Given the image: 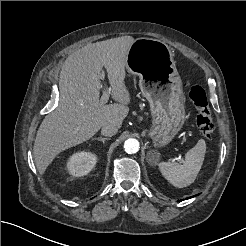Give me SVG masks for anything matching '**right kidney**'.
I'll list each match as a JSON object with an SVG mask.
<instances>
[{
	"mask_svg": "<svg viewBox=\"0 0 246 246\" xmlns=\"http://www.w3.org/2000/svg\"><path fill=\"white\" fill-rule=\"evenodd\" d=\"M97 162V156L89 151H79L72 154L66 163V170L74 177L88 174Z\"/></svg>",
	"mask_w": 246,
	"mask_h": 246,
	"instance_id": "1",
	"label": "right kidney"
}]
</instances>
